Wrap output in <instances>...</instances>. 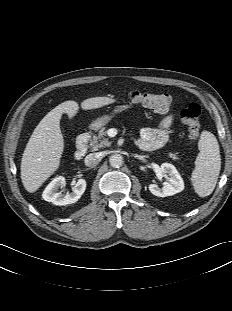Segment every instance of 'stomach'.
I'll return each mask as SVG.
<instances>
[{
    "label": "stomach",
    "instance_id": "stomach-1",
    "mask_svg": "<svg viewBox=\"0 0 232 311\" xmlns=\"http://www.w3.org/2000/svg\"><path fill=\"white\" fill-rule=\"evenodd\" d=\"M127 108L128 106H120L115 110V112H121ZM110 119H111V116L99 117L95 119L94 121H92L89 127L91 130H98L102 128L104 125H106L110 121Z\"/></svg>",
    "mask_w": 232,
    "mask_h": 311
}]
</instances>
